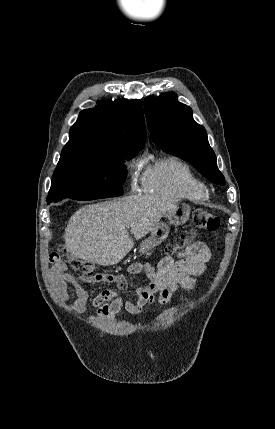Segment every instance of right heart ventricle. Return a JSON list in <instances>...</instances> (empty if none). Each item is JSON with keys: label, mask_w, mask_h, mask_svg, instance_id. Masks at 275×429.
<instances>
[{"label": "right heart ventricle", "mask_w": 275, "mask_h": 429, "mask_svg": "<svg viewBox=\"0 0 275 429\" xmlns=\"http://www.w3.org/2000/svg\"><path fill=\"white\" fill-rule=\"evenodd\" d=\"M144 190L191 201L207 198L205 183L189 164L176 156H164L149 163L143 177Z\"/></svg>", "instance_id": "right-heart-ventricle-1"}]
</instances>
